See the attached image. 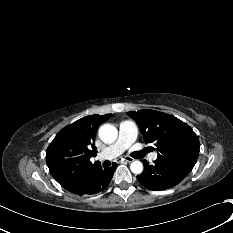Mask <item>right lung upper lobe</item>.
<instances>
[{"instance_id":"right-lung-upper-lobe-1","label":"right lung upper lobe","mask_w":233,"mask_h":233,"mask_svg":"<svg viewBox=\"0 0 233 233\" xmlns=\"http://www.w3.org/2000/svg\"><path fill=\"white\" fill-rule=\"evenodd\" d=\"M90 115L63 128L46 151V162L54 179L66 190L79 194L88 180L100 168V163H91L90 157L97 152L94 146L96 127L110 118Z\"/></svg>"}]
</instances>
